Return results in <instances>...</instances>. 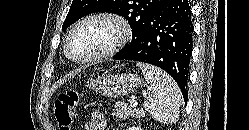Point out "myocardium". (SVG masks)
<instances>
[{
  "label": "myocardium",
  "instance_id": "myocardium-1",
  "mask_svg": "<svg viewBox=\"0 0 249 130\" xmlns=\"http://www.w3.org/2000/svg\"><path fill=\"white\" fill-rule=\"evenodd\" d=\"M96 20H105L112 22L116 24L119 28V35L117 39L114 41V43L108 47L107 49L100 51L98 53L92 54L90 56L84 57V58H75L73 57L69 52V44L71 41L72 36L74 33L83 25L86 23H89L91 21ZM132 36V28L127 19L124 17L112 14V13H104V12H98V13H92L89 14L82 19H80L69 31L66 40L64 42V54L65 56L72 62L79 63V64H85V63H91L95 61H99L108 57H111L115 55L118 51H120L126 43L130 40Z\"/></svg>",
  "mask_w": 249,
  "mask_h": 130
}]
</instances>
